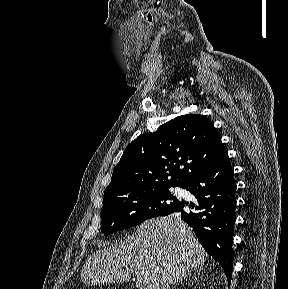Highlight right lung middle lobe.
Here are the masks:
<instances>
[{
  "instance_id": "dd1d6c3e",
  "label": "right lung middle lobe",
  "mask_w": 288,
  "mask_h": 289,
  "mask_svg": "<svg viewBox=\"0 0 288 289\" xmlns=\"http://www.w3.org/2000/svg\"><path fill=\"white\" fill-rule=\"evenodd\" d=\"M169 188H149L104 198L101 231L107 236L149 218L167 215L180 203Z\"/></svg>"
}]
</instances>
